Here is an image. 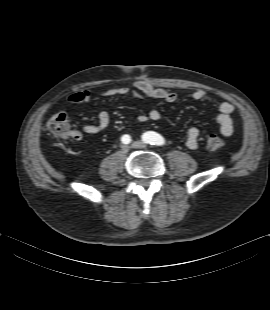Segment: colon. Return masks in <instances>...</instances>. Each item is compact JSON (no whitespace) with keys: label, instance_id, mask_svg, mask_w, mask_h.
<instances>
[{"label":"colon","instance_id":"5ec220e1","mask_svg":"<svg viewBox=\"0 0 270 310\" xmlns=\"http://www.w3.org/2000/svg\"><path fill=\"white\" fill-rule=\"evenodd\" d=\"M47 128L52 136L58 140H71L76 138V132L71 130L68 116L65 112H58L48 121ZM225 144L224 139L219 135H210L207 138L206 146L210 150H219Z\"/></svg>","mask_w":270,"mask_h":310}]
</instances>
